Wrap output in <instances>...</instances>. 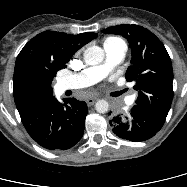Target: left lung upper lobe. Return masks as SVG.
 <instances>
[{
	"instance_id": "5c2ea615",
	"label": "left lung upper lobe",
	"mask_w": 187,
	"mask_h": 187,
	"mask_svg": "<svg viewBox=\"0 0 187 187\" xmlns=\"http://www.w3.org/2000/svg\"><path fill=\"white\" fill-rule=\"evenodd\" d=\"M125 37L131 47V65L126 80L138 91L136 105L167 117L173 99L171 59L162 42L148 29L121 24L102 30Z\"/></svg>"
}]
</instances>
